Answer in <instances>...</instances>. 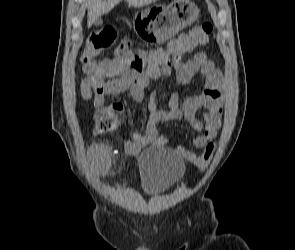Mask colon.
<instances>
[{
    "label": "colon",
    "instance_id": "colon-1",
    "mask_svg": "<svg viewBox=\"0 0 295 250\" xmlns=\"http://www.w3.org/2000/svg\"><path fill=\"white\" fill-rule=\"evenodd\" d=\"M213 32V26L205 22L194 26L189 33L175 39L178 48L189 49L208 43ZM116 40V31L111 26H104L93 31L86 41L81 63L85 72L89 74H105L110 72L112 66L108 61L96 62L95 58L104 50L111 47ZM117 108L114 105L103 106L95 109L93 113L94 132L99 135L114 132L119 126ZM215 142H209L200 155L192 154L188 160L196 167L204 169L214 156Z\"/></svg>",
    "mask_w": 295,
    "mask_h": 250
}]
</instances>
